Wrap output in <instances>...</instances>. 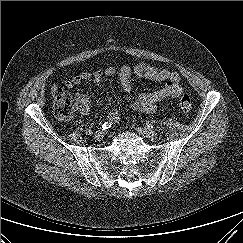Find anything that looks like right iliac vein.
Returning a JSON list of instances; mask_svg holds the SVG:
<instances>
[{"label":"right iliac vein","instance_id":"right-iliac-vein-1","mask_svg":"<svg viewBox=\"0 0 243 243\" xmlns=\"http://www.w3.org/2000/svg\"><path fill=\"white\" fill-rule=\"evenodd\" d=\"M105 132L102 130L96 131L94 134L95 139L100 140L103 138Z\"/></svg>","mask_w":243,"mask_h":243}]
</instances>
